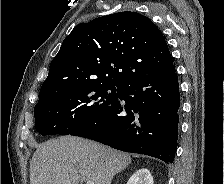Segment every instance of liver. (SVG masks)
I'll list each match as a JSON object with an SVG mask.
<instances>
[{
  "instance_id": "obj_1",
  "label": "liver",
  "mask_w": 224,
  "mask_h": 184,
  "mask_svg": "<svg viewBox=\"0 0 224 184\" xmlns=\"http://www.w3.org/2000/svg\"><path fill=\"white\" fill-rule=\"evenodd\" d=\"M130 155L82 138L63 136L39 146L30 162V184H111Z\"/></svg>"
}]
</instances>
